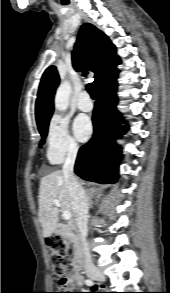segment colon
<instances>
[{
	"label": "colon",
	"instance_id": "obj_1",
	"mask_svg": "<svg viewBox=\"0 0 170 293\" xmlns=\"http://www.w3.org/2000/svg\"><path fill=\"white\" fill-rule=\"evenodd\" d=\"M47 245L51 249L49 257L57 280V292L53 293H67L65 291L69 288V281L66 277V271L72 248L67 241L58 236L47 238Z\"/></svg>",
	"mask_w": 170,
	"mask_h": 293
}]
</instances>
